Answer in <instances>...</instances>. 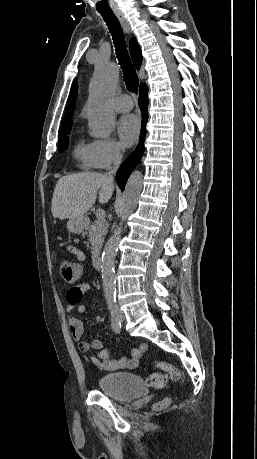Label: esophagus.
<instances>
[{
    "label": "esophagus",
    "mask_w": 257,
    "mask_h": 459,
    "mask_svg": "<svg viewBox=\"0 0 257 459\" xmlns=\"http://www.w3.org/2000/svg\"><path fill=\"white\" fill-rule=\"evenodd\" d=\"M114 14L117 17V19L119 20L124 32L127 35H131L130 25H129L128 21L126 20L124 14L120 10H114Z\"/></svg>",
    "instance_id": "esophagus-1"
}]
</instances>
